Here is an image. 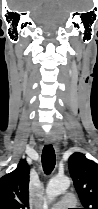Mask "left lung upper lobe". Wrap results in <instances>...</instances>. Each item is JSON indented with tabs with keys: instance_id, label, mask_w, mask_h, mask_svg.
<instances>
[{
	"instance_id": "5c2ea615",
	"label": "left lung upper lobe",
	"mask_w": 98,
	"mask_h": 209,
	"mask_svg": "<svg viewBox=\"0 0 98 209\" xmlns=\"http://www.w3.org/2000/svg\"><path fill=\"white\" fill-rule=\"evenodd\" d=\"M68 165L83 209H98V164L76 152L70 156Z\"/></svg>"
}]
</instances>
